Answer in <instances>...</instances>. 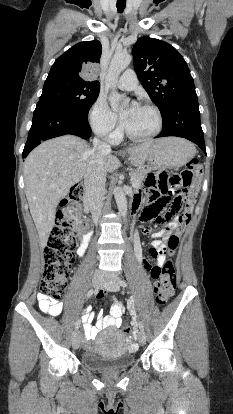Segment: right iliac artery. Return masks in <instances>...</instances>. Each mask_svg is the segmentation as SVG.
<instances>
[{
    "label": "right iliac artery",
    "instance_id": "right-iliac-artery-1",
    "mask_svg": "<svg viewBox=\"0 0 233 414\" xmlns=\"http://www.w3.org/2000/svg\"><path fill=\"white\" fill-rule=\"evenodd\" d=\"M135 251L138 254V252L140 251V247L135 245ZM95 292H96V289L89 290V292L87 293V298H90ZM80 324H81L80 320H77L75 324V330H77L80 327Z\"/></svg>",
    "mask_w": 233,
    "mask_h": 414
}]
</instances>
